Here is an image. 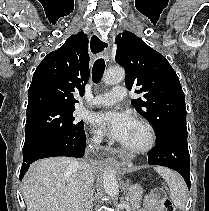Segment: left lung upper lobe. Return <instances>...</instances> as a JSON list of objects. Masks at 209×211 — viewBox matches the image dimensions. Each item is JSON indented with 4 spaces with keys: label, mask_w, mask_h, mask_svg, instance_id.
<instances>
[{
    "label": "left lung upper lobe",
    "mask_w": 209,
    "mask_h": 211,
    "mask_svg": "<svg viewBox=\"0 0 209 211\" xmlns=\"http://www.w3.org/2000/svg\"><path fill=\"white\" fill-rule=\"evenodd\" d=\"M116 62L126 71L125 84L143 97L132 100L161 141L169 132L186 128L185 97L178 76L167 59L131 32L116 37Z\"/></svg>",
    "instance_id": "left-lung-upper-lobe-1"
}]
</instances>
